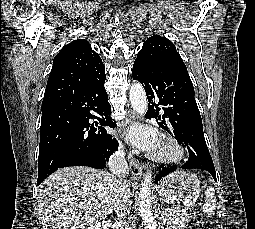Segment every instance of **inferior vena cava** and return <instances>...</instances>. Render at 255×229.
I'll return each mask as SVG.
<instances>
[{
    "instance_id": "inferior-vena-cava-1",
    "label": "inferior vena cava",
    "mask_w": 255,
    "mask_h": 229,
    "mask_svg": "<svg viewBox=\"0 0 255 229\" xmlns=\"http://www.w3.org/2000/svg\"><path fill=\"white\" fill-rule=\"evenodd\" d=\"M109 170L116 177L115 212L120 224H125L123 219L131 213V200L126 188V176L129 174V167L123 151L113 153L109 158Z\"/></svg>"
}]
</instances>
